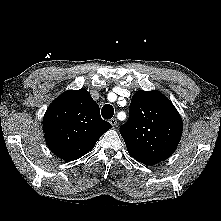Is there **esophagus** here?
Returning <instances> with one entry per match:
<instances>
[{
	"label": "esophagus",
	"instance_id": "obj_1",
	"mask_svg": "<svg viewBox=\"0 0 221 221\" xmlns=\"http://www.w3.org/2000/svg\"><path fill=\"white\" fill-rule=\"evenodd\" d=\"M110 124H111L112 126H116V125H117V119H116V118L110 119Z\"/></svg>",
	"mask_w": 221,
	"mask_h": 221
}]
</instances>
